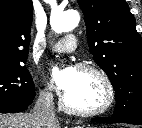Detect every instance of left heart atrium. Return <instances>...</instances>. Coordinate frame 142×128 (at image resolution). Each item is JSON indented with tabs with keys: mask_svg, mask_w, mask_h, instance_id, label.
Here are the masks:
<instances>
[{
	"mask_svg": "<svg viewBox=\"0 0 142 128\" xmlns=\"http://www.w3.org/2000/svg\"><path fill=\"white\" fill-rule=\"evenodd\" d=\"M50 76L54 86L66 95L76 85L78 73L73 67L54 66Z\"/></svg>",
	"mask_w": 142,
	"mask_h": 128,
	"instance_id": "obj_1",
	"label": "left heart atrium"
}]
</instances>
